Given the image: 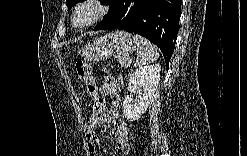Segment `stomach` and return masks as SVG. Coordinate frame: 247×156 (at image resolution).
Returning <instances> with one entry per match:
<instances>
[{
	"label": "stomach",
	"instance_id": "stomach-1",
	"mask_svg": "<svg viewBox=\"0 0 247 156\" xmlns=\"http://www.w3.org/2000/svg\"><path fill=\"white\" fill-rule=\"evenodd\" d=\"M136 47L135 38L126 31L110 32L88 43L82 56L89 62L111 57L115 53L126 54Z\"/></svg>",
	"mask_w": 247,
	"mask_h": 156
}]
</instances>
